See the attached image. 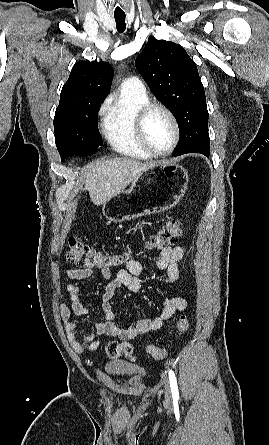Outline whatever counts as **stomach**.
<instances>
[{
    "mask_svg": "<svg viewBox=\"0 0 269 445\" xmlns=\"http://www.w3.org/2000/svg\"><path fill=\"white\" fill-rule=\"evenodd\" d=\"M186 188L185 174L173 163L154 164L122 192L103 204V214L111 222H124L160 213L176 206Z\"/></svg>",
    "mask_w": 269,
    "mask_h": 445,
    "instance_id": "stomach-1",
    "label": "stomach"
}]
</instances>
